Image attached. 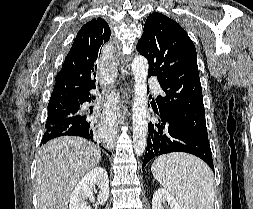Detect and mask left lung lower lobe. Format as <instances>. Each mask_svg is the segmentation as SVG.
<instances>
[{"instance_id":"obj_1","label":"left lung lower lobe","mask_w":253,"mask_h":209,"mask_svg":"<svg viewBox=\"0 0 253 209\" xmlns=\"http://www.w3.org/2000/svg\"><path fill=\"white\" fill-rule=\"evenodd\" d=\"M154 111L158 115V121L148 124L149 135L142 169L156 156L171 152H186L201 158L214 171L209 141L182 129L172 120L161 116L157 109Z\"/></svg>"}]
</instances>
